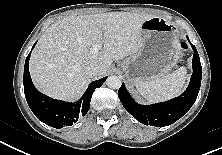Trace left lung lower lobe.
Segmentation results:
<instances>
[{"label": "left lung lower lobe", "mask_w": 222, "mask_h": 155, "mask_svg": "<svg viewBox=\"0 0 222 155\" xmlns=\"http://www.w3.org/2000/svg\"><path fill=\"white\" fill-rule=\"evenodd\" d=\"M187 39L189 40L188 36ZM190 44L194 51L192 61L193 73L189 86L179 97L162 103L141 105L136 103L130 96L124 83L120 87L118 97L122 105L139 122L157 127L168 126L181 118L196 101L201 85L202 67L195 46L191 42Z\"/></svg>", "instance_id": "left-lung-lower-lobe-1"}]
</instances>
